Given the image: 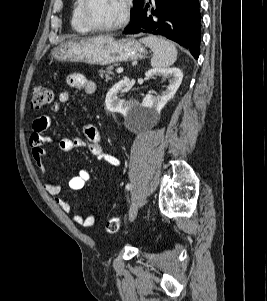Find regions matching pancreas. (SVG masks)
Masks as SVG:
<instances>
[{"label": "pancreas", "mask_w": 267, "mask_h": 301, "mask_svg": "<svg viewBox=\"0 0 267 301\" xmlns=\"http://www.w3.org/2000/svg\"><path fill=\"white\" fill-rule=\"evenodd\" d=\"M113 69V66H109L105 70L101 69L99 70V76L103 78L105 75L106 81L111 80L112 78L110 77V75L113 74Z\"/></svg>", "instance_id": "1"}]
</instances>
